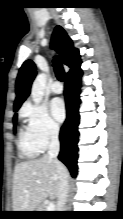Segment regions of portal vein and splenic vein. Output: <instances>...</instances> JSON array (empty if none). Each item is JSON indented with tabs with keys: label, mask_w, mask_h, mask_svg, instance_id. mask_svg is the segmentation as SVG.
Here are the masks:
<instances>
[{
	"label": "portal vein and splenic vein",
	"mask_w": 123,
	"mask_h": 219,
	"mask_svg": "<svg viewBox=\"0 0 123 219\" xmlns=\"http://www.w3.org/2000/svg\"><path fill=\"white\" fill-rule=\"evenodd\" d=\"M54 209H55V206L53 203H49L48 206L46 207V211H54Z\"/></svg>",
	"instance_id": "portal-vein-and-splenic-vein-1"
}]
</instances>
